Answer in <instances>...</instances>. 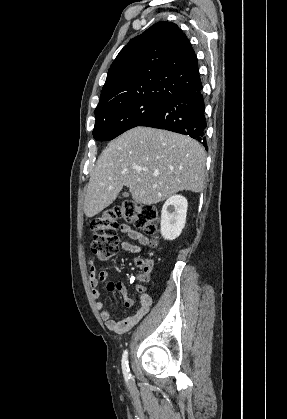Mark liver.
Here are the masks:
<instances>
[{
    "label": "liver",
    "mask_w": 287,
    "mask_h": 419,
    "mask_svg": "<svg viewBox=\"0 0 287 419\" xmlns=\"http://www.w3.org/2000/svg\"><path fill=\"white\" fill-rule=\"evenodd\" d=\"M206 153L189 136L148 127L123 133L103 150L91 174L85 201L86 217L108 207L124 186L136 203L156 204L205 186Z\"/></svg>",
    "instance_id": "obj_1"
}]
</instances>
